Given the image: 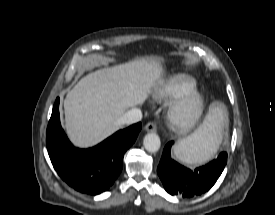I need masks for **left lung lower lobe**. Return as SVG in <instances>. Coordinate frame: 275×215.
<instances>
[{"label":"left lung lower lobe","instance_id":"left-lung-lower-lobe-1","mask_svg":"<svg viewBox=\"0 0 275 215\" xmlns=\"http://www.w3.org/2000/svg\"><path fill=\"white\" fill-rule=\"evenodd\" d=\"M169 142L162 154L157 173L164 189L171 195L191 198L207 192L217 181L227 163L221 153L217 159L193 170L186 168L171 158Z\"/></svg>","mask_w":275,"mask_h":215}]
</instances>
